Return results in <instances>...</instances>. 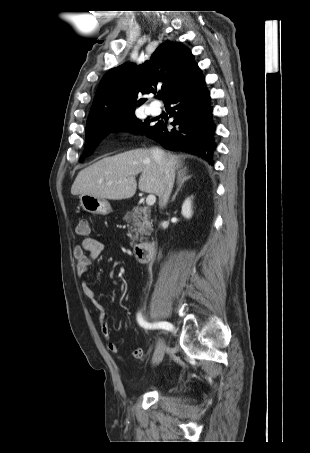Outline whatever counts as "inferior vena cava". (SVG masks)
Here are the masks:
<instances>
[{
	"mask_svg": "<svg viewBox=\"0 0 310 453\" xmlns=\"http://www.w3.org/2000/svg\"><path fill=\"white\" fill-rule=\"evenodd\" d=\"M151 153L153 159L161 167L164 173L159 195V206L160 208H163L167 205L173 188L175 178L174 168L172 162L167 158L164 151L158 148H153L151 149Z\"/></svg>",
	"mask_w": 310,
	"mask_h": 453,
	"instance_id": "obj_1",
	"label": "inferior vena cava"
}]
</instances>
